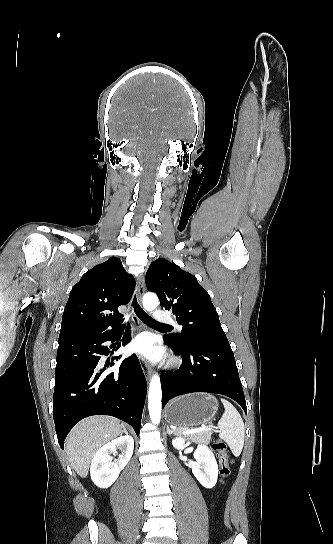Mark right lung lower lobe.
Returning a JSON list of instances; mask_svg holds the SVG:
<instances>
[{
    "mask_svg": "<svg viewBox=\"0 0 333 544\" xmlns=\"http://www.w3.org/2000/svg\"><path fill=\"white\" fill-rule=\"evenodd\" d=\"M130 326L122 344L130 340ZM120 330L88 335L63 343L57 350L53 418L60 447L72 427L91 415H111L129 423L139 435L147 383L135 354L126 358L119 369L109 370L114 360L107 355L106 341L113 342ZM121 344L118 345V348Z\"/></svg>",
    "mask_w": 333,
    "mask_h": 544,
    "instance_id": "obj_1",
    "label": "right lung lower lobe"
}]
</instances>
